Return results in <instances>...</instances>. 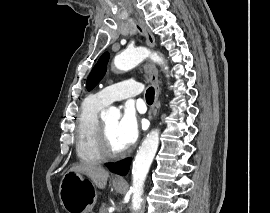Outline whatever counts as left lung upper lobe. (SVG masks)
<instances>
[{"label": "left lung upper lobe", "instance_id": "obj_1", "mask_svg": "<svg viewBox=\"0 0 270 213\" xmlns=\"http://www.w3.org/2000/svg\"><path fill=\"white\" fill-rule=\"evenodd\" d=\"M109 60V53H104L98 60V63L94 66L93 70L91 71L88 79L86 87L88 90L93 89L98 82L103 78L106 72V65Z\"/></svg>", "mask_w": 270, "mask_h": 213}]
</instances>
